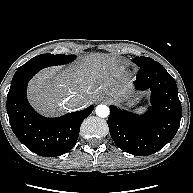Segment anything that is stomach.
I'll use <instances>...</instances> for the list:
<instances>
[{
    "label": "stomach",
    "mask_w": 193,
    "mask_h": 193,
    "mask_svg": "<svg viewBox=\"0 0 193 193\" xmlns=\"http://www.w3.org/2000/svg\"><path fill=\"white\" fill-rule=\"evenodd\" d=\"M115 100H124L125 98H120V99H117V97L115 95H111ZM136 102V99H129L127 100V105L131 106L133 105L134 103Z\"/></svg>",
    "instance_id": "1"
}]
</instances>
